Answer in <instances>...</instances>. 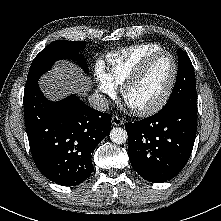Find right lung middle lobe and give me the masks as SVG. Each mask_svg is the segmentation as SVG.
<instances>
[{"label":"right lung middle lobe","mask_w":221,"mask_h":221,"mask_svg":"<svg viewBox=\"0 0 221 221\" xmlns=\"http://www.w3.org/2000/svg\"><path fill=\"white\" fill-rule=\"evenodd\" d=\"M86 47L84 41H67V40H56L44 48L32 62L27 81L26 87L37 83L39 77L46 71H48L56 60L60 59H74L79 63V66L88 73V66L85 58L79 55V52Z\"/></svg>","instance_id":"dd1d6c3e"}]
</instances>
